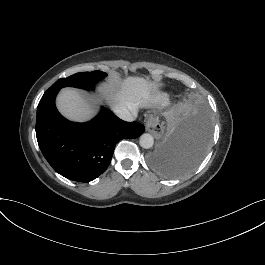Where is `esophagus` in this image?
Listing matches in <instances>:
<instances>
[{
  "label": "esophagus",
  "instance_id": "esophagus-1",
  "mask_svg": "<svg viewBox=\"0 0 265 265\" xmlns=\"http://www.w3.org/2000/svg\"><path fill=\"white\" fill-rule=\"evenodd\" d=\"M146 130L151 133L156 139H159L162 137L164 133V129L162 126L154 120L152 117H149L146 121Z\"/></svg>",
  "mask_w": 265,
  "mask_h": 265
}]
</instances>
